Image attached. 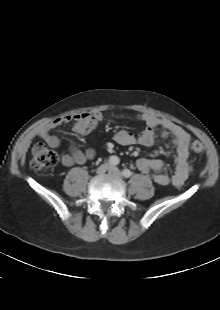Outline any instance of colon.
<instances>
[{
	"label": "colon",
	"mask_w": 220,
	"mask_h": 310,
	"mask_svg": "<svg viewBox=\"0 0 220 310\" xmlns=\"http://www.w3.org/2000/svg\"><path fill=\"white\" fill-rule=\"evenodd\" d=\"M189 149L193 154H200L203 152V144L198 140H193ZM58 162L57 153L46 146L43 142L36 143L31 151L30 167L34 170H43L51 168Z\"/></svg>",
	"instance_id": "colon-1"
}]
</instances>
